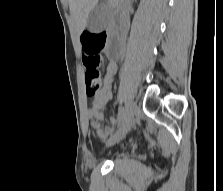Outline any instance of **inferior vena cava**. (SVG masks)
<instances>
[{"mask_svg": "<svg viewBox=\"0 0 223 191\" xmlns=\"http://www.w3.org/2000/svg\"><path fill=\"white\" fill-rule=\"evenodd\" d=\"M129 6V0H119L120 20L125 30L130 24Z\"/></svg>", "mask_w": 223, "mask_h": 191, "instance_id": "1", "label": "inferior vena cava"}]
</instances>
